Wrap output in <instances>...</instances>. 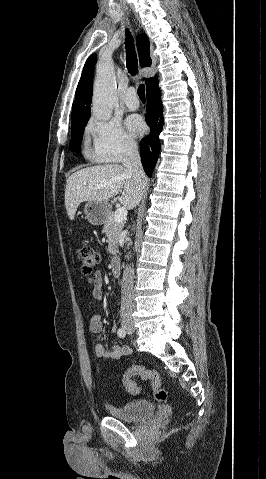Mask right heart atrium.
Wrapping results in <instances>:
<instances>
[{"label":"right heart atrium","mask_w":266,"mask_h":479,"mask_svg":"<svg viewBox=\"0 0 266 479\" xmlns=\"http://www.w3.org/2000/svg\"><path fill=\"white\" fill-rule=\"evenodd\" d=\"M86 136L90 141L88 155L98 162L118 163L136 151L134 140L118 121L93 117L87 124Z\"/></svg>","instance_id":"d8ad5b80"}]
</instances>
